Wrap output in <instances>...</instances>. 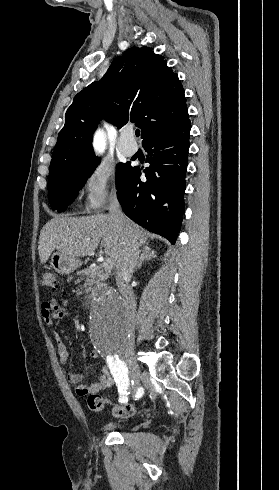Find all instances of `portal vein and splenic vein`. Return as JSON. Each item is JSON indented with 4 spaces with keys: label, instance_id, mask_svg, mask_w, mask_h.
<instances>
[{
    "label": "portal vein and splenic vein",
    "instance_id": "portal-vein-and-splenic-vein-1",
    "mask_svg": "<svg viewBox=\"0 0 279 490\" xmlns=\"http://www.w3.org/2000/svg\"><path fill=\"white\" fill-rule=\"evenodd\" d=\"M103 266H106V268H114L115 264H113L112 258H105Z\"/></svg>",
    "mask_w": 279,
    "mask_h": 490
}]
</instances>
